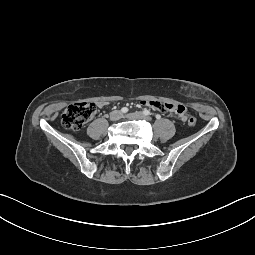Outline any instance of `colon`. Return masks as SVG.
<instances>
[{"instance_id": "obj_1", "label": "colon", "mask_w": 255, "mask_h": 255, "mask_svg": "<svg viewBox=\"0 0 255 255\" xmlns=\"http://www.w3.org/2000/svg\"><path fill=\"white\" fill-rule=\"evenodd\" d=\"M97 113V108L94 103L90 102H77L69 105L61 116V121L64 127L70 130H78L91 120ZM188 125L193 126L196 123V118L191 117L186 122Z\"/></svg>"}]
</instances>
